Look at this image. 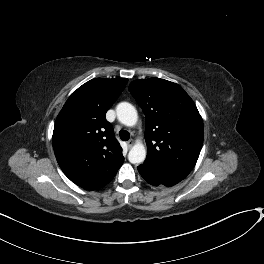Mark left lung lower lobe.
I'll use <instances>...</instances> for the list:
<instances>
[{
  "label": "left lung lower lobe",
  "mask_w": 264,
  "mask_h": 264,
  "mask_svg": "<svg viewBox=\"0 0 264 264\" xmlns=\"http://www.w3.org/2000/svg\"><path fill=\"white\" fill-rule=\"evenodd\" d=\"M137 169L140 175L144 178V180L154 186L164 185L166 187H170V186L177 184L178 182L182 180L177 177L161 174L144 165L138 166Z\"/></svg>",
  "instance_id": "obj_1"
}]
</instances>
